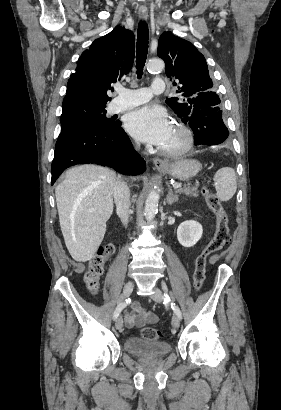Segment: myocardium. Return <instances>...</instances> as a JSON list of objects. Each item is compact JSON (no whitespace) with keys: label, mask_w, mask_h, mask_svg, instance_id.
I'll use <instances>...</instances> for the list:
<instances>
[{"label":"myocardium","mask_w":281,"mask_h":410,"mask_svg":"<svg viewBox=\"0 0 281 410\" xmlns=\"http://www.w3.org/2000/svg\"><path fill=\"white\" fill-rule=\"evenodd\" d=\"M173 127L182 135L183 141L181 145L175 149L159 148V152L167 157L181 156L190 151L194 144V134L186 124L176 121L174 122Z\"/></svg>","instance_id":"f54148a6"}]
</instances>
